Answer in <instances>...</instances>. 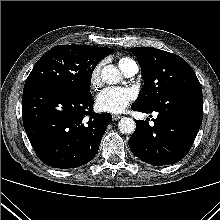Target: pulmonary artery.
Listing matches in <instances>:
<instances>
[{"label": "pulmonary artery", "instance_id": "e3ab8cb5", "mask_svg": "<svg viewBox=\"0 0 220 220\" xmlns=\"http://www.w3.org/2000/svg\"><path fill=\"white\" fill-rule=\"evenodd\" d=\"M138 72V66L135 62L131 63L128 68L124 71L128 77L134 76Z\"/></svg>", "mask_w": 220, "mask_h": 220}]
</instances>
